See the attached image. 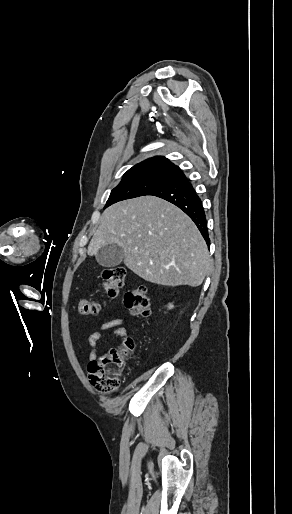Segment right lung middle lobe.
I'll return each instance as SVG.
<instances>
[{"instance_id": "right-lung-middle-lobe-1", "label": "right lung middle lobe", "mask_w": 292, "mask_h": 514, "mask_svg": "<svg viewBox=\"0 0 292 514\" xmlns=\"http://www.w3.org/2000/svg\"><path fill=\"white\" fill-rule=\"evenodd\" d=\"M169 176L165 172L124 174L122 181L111 191L106 207L121 200L143 196Z\"/></svg>"}]
</instances>
